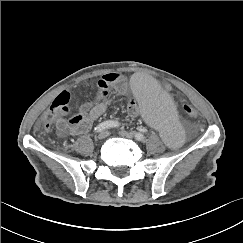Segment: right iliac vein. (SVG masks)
<instances>
[{
    "label": "right iliac vein",
    "instance_id": "1",
    "mask_svg": "<svg viewBox=\"0 0 243 243\" xmlns=\"http://www.w3.org/2000/svg\"><path fill=\"white\" fill-rule=\"evenodd\" d=\"M109 136V132L104 130V131H101L99 134H98V139L100 140H103L105 139L106 137Z\"/></svg>",
    "mask_w": 243,
    "mask_h": 243
}]
</instances>
